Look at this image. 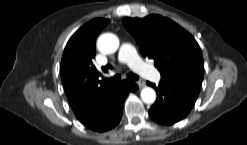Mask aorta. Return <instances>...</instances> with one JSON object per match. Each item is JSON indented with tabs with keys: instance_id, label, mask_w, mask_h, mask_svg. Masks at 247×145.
Masks as SVG:
<instances>
[{
	"instance_id": "762f6f07",
	"label": "aorta",
	"mask_w": 247,
	"mask_h": 145,
	"mask_svg": "<svg viewBox=\"0 0 247 145\" xmlns=\"http://www.w3.org/2000/svg\"><path fill=\"white\" fill-rule=\"evenodd\" d=\"M97 47L104 54H112L119 47V39L112 33H105L98 38ZM141 99L146 104H153L156 100V92L151 87H144L141 90Z\"/></svg>"
}]
</instances>
